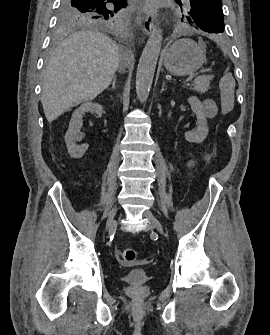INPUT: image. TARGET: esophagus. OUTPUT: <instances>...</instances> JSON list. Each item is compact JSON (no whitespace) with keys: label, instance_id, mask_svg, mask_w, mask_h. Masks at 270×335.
<instances>
[{"label":"esophagus","instance_id":"1","mask_svg":"<svg viewBox=\"0 0 270 335\" xmlns=\"http://www.w3.org/2000/svg\"><path fill=\"white\" fill-rule=\"evenodd\" d=\"M147 2V0H143ZM141 27L144 35H150L153 31L154 26V11L147 9L140 17Z\"/></svg>","mask_w":270,"mask_h":335}]
</instances>
